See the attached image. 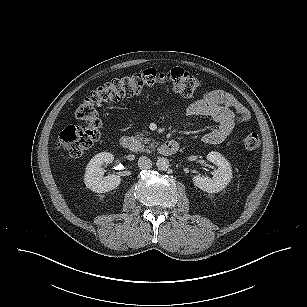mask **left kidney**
<instances>
[{
    "label": "left kidney",
    "instance_id": "obj_1",
    "mask_svg": "<svg viewBox=\"0 0 307 307\" xmlns=\"http://www.w3.org/2000/svg\"><path fill=\"white\" fill-rule=\"evenodd\" d=\"M207 160L214 163L218 168L213 171V177H204L195 175L192 180L195 186L199 189L215 193L223 190L232 179V170L229 162L218 152H210L207 155Z\"/></svg>",
    "mask_w": 307,
    "mask_h": 307
}]
</instances>
